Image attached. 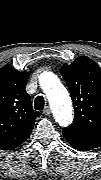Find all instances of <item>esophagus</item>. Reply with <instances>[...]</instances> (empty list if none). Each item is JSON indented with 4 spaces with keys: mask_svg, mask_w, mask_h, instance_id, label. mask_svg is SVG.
Masks as SVG:
<instances>
[{
    "mask_svg": "<svg viewBox=\"0 0 101 180\" xmlns=\"http://www.w3.org/2000/svg\"><path fill=\"white\" fill-rule=\"evenodd\" d=\"M50 113H51L50 108L48 106L45 107L44 110H43V114L44 115H50Z\"/></svg>",
    "mask_w": 101,
    "mask_h": 180,
    "instance_id": "1",
    "label": "esophagus"
}]
</instances>
